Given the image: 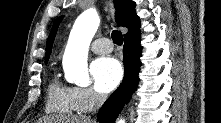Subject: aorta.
I'll use <instances>...</instances> for the list:
<instances>
[{
  "label": "aorta",
  "instance_id": "aorta-1",
  "mask_svg": "<svg viewBox=\"0 0 221 123\" xmlns=\"http://www.w3.org/2000/svg\"><path fill=\"white\" fill-rule=\"evenodd\" d=\"M100 18L93 9L84 11L76 19L63 56V69L68 81L85 87L90 84L87 68L88 48L98 29ZM118 123H125L119 119Z\"/></svg>",
  "mask_w": 221,
  "mask_h": 123
}]
</instances>
